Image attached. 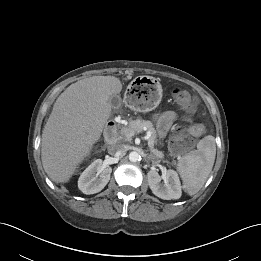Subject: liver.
<instances>
[{
    "label": "liver",
    "instance_id": "6515ba94",
    "mask_svg": "<svg viewBox=\"0 0 261 261\" xmlns=\"http://www.w3.org/2000/svg\"><path fill=\"white\" fill-rule=\"evenodd\" d=\"M122 90L114 76H93L71 84L60 94L41 140L45 172L56 183L68 182L111 114L109 99Z\"/></svg>",
    "mask_w": 261,
    "mask_h": 261
}]
</instances>
